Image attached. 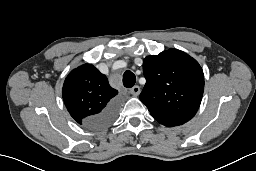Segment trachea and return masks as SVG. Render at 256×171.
<instances>
[{"label": "trachea", "instance_id": "3493384b", "mask_svg": "<svg viewBox=\"0 0 256 171\" xmlns=\"http://www.w3.org/2000/svg\"><path fill=\"white\" fill-rule=\"evenodd\" d=\"M135 82H136V77L134 73L129 70L125 71L123 74V85L126 88H131L134 86Z\"/></svg>", "mask_w": 256, "mask_h": 171}]
</instances>
